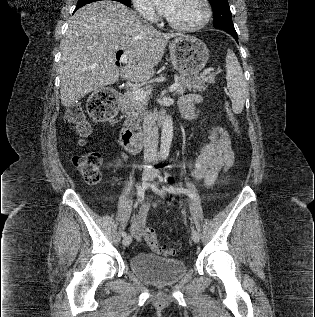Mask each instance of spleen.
Instances as JSON below:
<instances>
[{
    "mask_svg": "<svg viewBox=\"0 0 315 317\" xmlns=\"http://www.w3.org/2000/svg\"><path fill=\"white\" fill-rule=\"evenodd\" d=\"M226 80L233 112L240 114L248 95V86L238 59L231 49L227 50L226 55Z\"/></svg>",
    "mask_w": 315,
    "mask_h": 317,
    "instance_id": "obj_1",
    "label": "spleen"
}]
</instances>
